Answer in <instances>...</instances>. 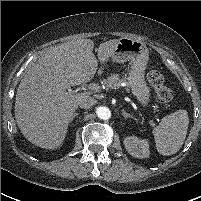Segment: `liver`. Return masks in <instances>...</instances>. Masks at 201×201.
<instances>
[{
	"mask_svg": "<svg viewBox=\"0 0 201 201\" xmlns=\"http://www.w3.org/2000/svg\"><path fill=\"white\" fill-rule=\"evenodd\" d=\"M119 40L101 43L98 60L105 64ZM94 42L81 39L53 47L34 63L21 80L15 101V117L23 135L31 143L47 149L60 146L68 124L82 96L90 93L67 92L70 86L89 82L97 71Z\"/></svg>",
	"mask_w": 201,
	"mask_h": 201,
	"instance_id": "liver-1",
	"label": "liver"
}]
</instances>
